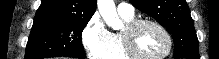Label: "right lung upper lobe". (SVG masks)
<instances>
[{
	"instance_id": "obj_1",
	"label": "right lung upper lobe",
	"mask_w": 219,
	"mask_h": 59,
	"mask_svg": "<svg viewBox=\"0 0 219 59\" xmlns=\"http://www.w3.org/2000/svg\"><path fill=\"white\" fill-rule=\"evenodd\" d=\"M95 11L96 0H42L35 16L90 19Z\"/></svg>"
}]
</instances>
